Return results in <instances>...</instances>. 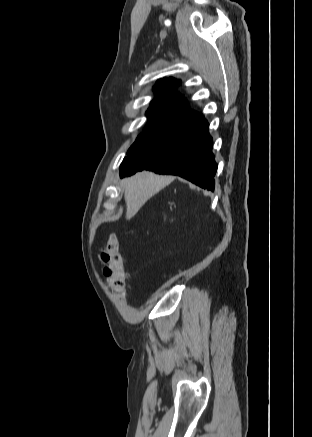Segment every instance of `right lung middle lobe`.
I'll list each match as a JSON object with an SVG mask.
<instances>
[{
  "label": "right lung middle lobe",
  "mask_w": 312,
  "mask_h": 437,
  "mask_svg": "<svg viewBox=\"0 0 312 437\" xmlns=\"http://www.w3.org/2000/svg\"><path fill=\"white\" fill-rule=\"evenodd\" d=\"M151 120L127 154L160 147L188 130L200 114L169 107H150L146 113Z\"/></svg>",
  "instance_id": "dd1d6c3e"
}]
</instances>
